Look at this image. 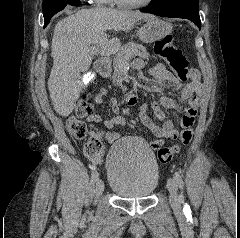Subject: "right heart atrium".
<instances>
[{"mask_svg":"<svg viewBox=\"0 0 240 238\" xmlns=\"http://www.w3.org/2000/svg\"><path fill=\"white\" fill-rule=\"evenodd\" d=\"M86 1L92 4H106L110 2V0H86Z\"/></svg>","mask_w":240,"mask_h":238,"instance_id":"right-heart-atrium-1","label":"right heart atrium"}]
</instances>
